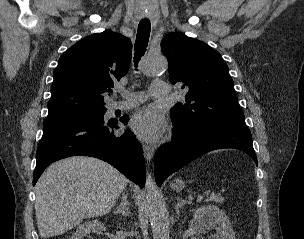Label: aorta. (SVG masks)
I'll return each mask as SVG.
<instances>
[{
  "mask_svg": "<svg viewBox=\"0 0 304 239\" xmlns=\"http://www.w3.org/2000/svg\"><path fill=\"white\" fill-rule=\"evenodd\" d=\"M168 68L167 59L163 55L145 58L142 71L146 76L163 74ZM146 208L151 223L153 239H169V218L161 195L155 185L151 173L147 172L145 182Z\"/></svg>",
  "mask_w": 304,
  "mask_h": 239,
  "instance_id": "762f6f07",
  "label": "aorta"
}]
</instances>
